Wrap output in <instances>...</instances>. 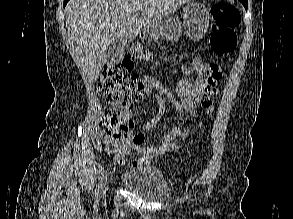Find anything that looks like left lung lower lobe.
I'll use <instances>...</instances> for the list:
<instances>
[{"label":"left lung lower lobe","mask_w":293,"mask_h":219,"mask_svg":"<svg viewBox=\"0 0 293 219\" xmlns=\"http://www.w3.org/2000/svg\"><path fill=\"white\" fill-rule=\"evenodd\" d=\"M240 2L244 5L245 9L247 10L248 0H240Z\"/></svg>","instance_id":"1"}]
</instances>
